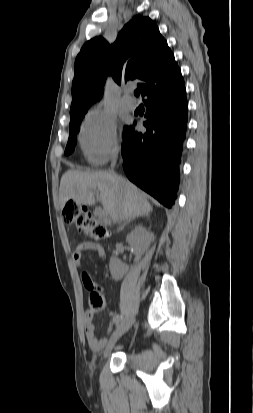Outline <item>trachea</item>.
Returning <instances> with one entry per match:
<instances>
[{
  "label": "trachea",
  "mask_w": 253,
  "mask_h": 413,
  "mask_svg": "<svg viewBox=\"0 0 253 413\" xmlns=\"http://www.w3.org/2000/svg\"><path fill=\"white\" fill-rule=\"evenodd\" d=\"M134 94H135V96H139L140 95V90H135Z\"/></svg>",
  "instance_id": "1"
}]
</instances>
